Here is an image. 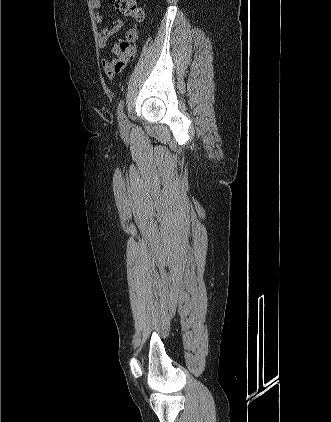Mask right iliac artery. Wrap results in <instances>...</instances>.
Returning <instances> with one entry per match:
<instances>
[{
	"mask_svg": "<svg viewBox=\"0 0 331 422\" xmlns=\"http://www.w3.org/2000/svg\"><path fill=\"white\" fill-rule=\"evenodd\" d=\"M123 104H124V102L121 100L119 105H118V108H117L118 122H119L120 127L122 125V120H123V117H124Z\"/></svg>",
	"mask_w": 331,
	"mask_h": 422,
	"instance_id": "right-iliac-artery-1",
	"label": "right iliac artery"
}]
</instances>
